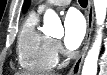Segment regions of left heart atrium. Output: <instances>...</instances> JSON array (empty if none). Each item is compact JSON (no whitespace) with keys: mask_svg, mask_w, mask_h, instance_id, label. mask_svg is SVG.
Wrapping results in <instances>:
<instances>
[{"mask_svg":"<svg viewBox=\"0 0 107 75\" xmlns=\"http://www.w3.org/2000/svg\"><path fill=\"white\" fill-rule=\"evenodd\" d=\"M86 32L83 17L77 11H69L64 20V44L67 49L75 50L82 43Z\"/></svg>","mask_w":107,"mask_h":75,"instance_id":"39dd6f15","label":"left heart atrium"}]
</instances>
